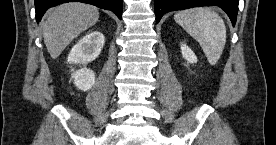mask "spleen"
Returning <instances> with one entry per match:
<instances>
[{"mask_svg":"<svg viewBox=\"0 0 276 145\" xmlns=\"http://www.w3.org/2000/svg\"><path fill=\"white\" fill-rule=\"evenodd\" d=\"M174 19L199 42L208 62L215 65L226 43V27L223 19L212 9L204 7L180 11L175 14Z\"/></svg>","mask_w":276,"mask_h":145,"instance_id":"spleen-1","label":"spleen"}]
</instances>
